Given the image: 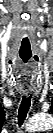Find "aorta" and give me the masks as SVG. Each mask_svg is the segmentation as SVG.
Here are the masks:
<instances>
[{"label":"aorta","mask_w":53,"mask_h":133,"mask_svg":"<svg viewBox=\"0 0 53 133\" xmlns=\"http://www.w3.org/2000/svg\"><path fill=\"white\" fill-rule=\"evenodd\" d=\"M52 124V118L48 114H40L33 117L28 125L30 130H40L43 128L50 127Z\"/></svg>","instance_id":"762f6f07"}]
</instances>
